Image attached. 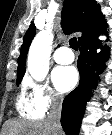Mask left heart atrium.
<instances>
[{
  "label": "left heart atrium",
  "instance_id": "1",
  "mask_svg": "<svg viewBox=\"0 0 112 135\" xmlns=\"http://www.w3.org/2000/svg\"><path fill=\"white\" fill-rule=\"evenodd\" d=\"M52 82L60 93L72 90L78 82V73L73 66H58L51 74Z\"/></svg>",
  "mask_w": 112,
  "mask_h": 135
}]
</instances>
